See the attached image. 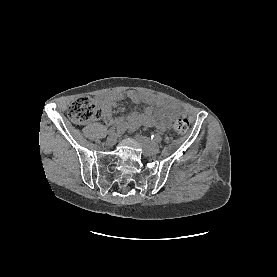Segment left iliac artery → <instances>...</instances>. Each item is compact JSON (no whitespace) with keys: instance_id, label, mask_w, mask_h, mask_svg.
I'll return each instance as SVG.
<instances>
[{"instance_id":"left-iliac-artery-1","label":"left iliac artery","mask_w":277,"mask_h":277,"mask_svg":"<svg viewBox=\"0 0 277 277\" xmlns=\"http://www.w3.org/2000/svg\"><path fill=\"white\" fill-rule=\"evenodd\" d=\"M151 139L155 142H161L162 141V138L159 134H152Z\"/></svg>"}]
</instances>
